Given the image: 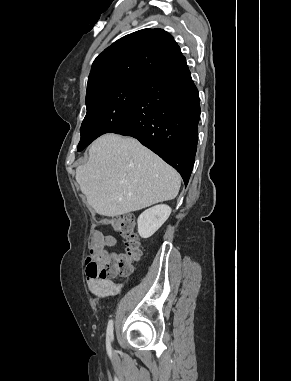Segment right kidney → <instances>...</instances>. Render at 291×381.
Segmentation results:
<instances>
[{
	"mask_svg": "<svg viewBox=\"0 0 291 381\" xmlns=\"http://www.w3.org/2000/svg\"><path fill=\"white\" fill-rule=\"evenodd\" d=\"M171 208L161 204L145 210L138 218V233L142 238L151 237L168 219Z\"/></svg>",
	"mask_w": 291,
	"mask_h": 381,
	"instance_id": "obj_1",
	"label": "right kidney"
}]
</instances>
